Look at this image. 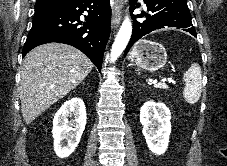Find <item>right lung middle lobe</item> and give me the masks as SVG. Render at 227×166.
Here are the masks:
<instances>
[{"label":"right lung middle lobe","instance_id":"right-lung-middle-lobe-1","mask_svg":"<svg viewBox=\"0 0 227 166\" xmlns=\"http://www.w3.org/2000/svg\"><path fill=\"white\" fill-rule=\"evenodd\" d=\"M55 6H35V14H38V13H41V12H44L48 9H51Z\"/></svg>","mask_w":227,"mask_h":166}]
</instances>
